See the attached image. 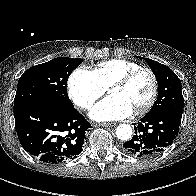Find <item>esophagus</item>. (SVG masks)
Instances as JSON below:
<instances>
[{
    "instance_id": "34e87169",
    "label": "esophagus",
    "mask_w": 196,
    "mask_h": 196,
    "mask_svg": "<svg viewBox=\"0 0 196 196\" xmlns=\"http://www.w3.org/2000/svg\"><path fill=\"white\" fill-rule=\"evenodd\" d=\"M101 125L104 127H112L115 126V123H102Z\"/></svg>"
}]
</instances>
